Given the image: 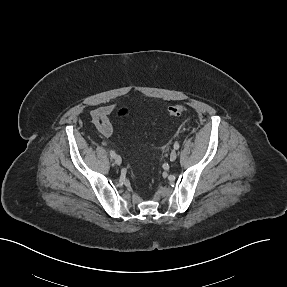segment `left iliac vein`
Here are the masks:
<instances>
[{
    "label": "left iliac vein",
    "instance_id": "obj_1",
    "mask_svg": "<svg viewBox=\"0 0 287 287\" xmlns=\"http://www.w3.org/2000/svg\"><path fill=\"white\" fill-rule=\"evenodd\" d=\"M177 158V152L176 150H172L171 153H170V161H175Z\"/></svg>",
    "mask_w": 287,
    "mask_h": 287
}]
</instances>
